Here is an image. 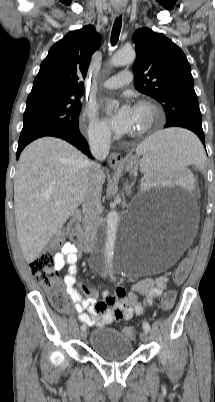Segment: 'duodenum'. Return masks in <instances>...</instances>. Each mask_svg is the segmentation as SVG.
Returning a JSON list of instances; mask_svg holds the SVG:
<instances>
[{
	"mask_svg": "<svg viewBox=\"0 0 215 402\" xmlns=\"http://www.w3.org/2000/svg\"><path fill=\"white\" fill-rule=\"evenodd\" d=\"M80 219L81 215L79 212H75L71 218L69 219L67 226H66V232L69 237V239L80 249H82L85 252H91L94 247L93 241L84 236L83 233L80 230ZM102 271H107V268L105 267H100Z\"/></svg>",
	"mask_w": 215,
	"mask_h": 402,
	"instance_id": "1",
	"label": "duodenum"
}]
</instances>
